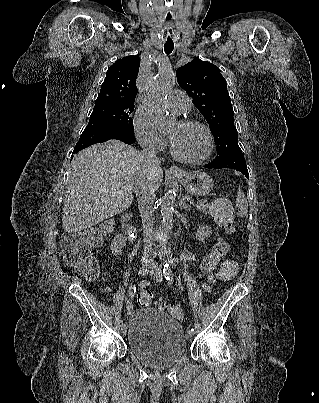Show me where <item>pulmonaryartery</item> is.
<instances>
[{
    "instance_id": "pulmonary-artery-1",
    "label": "pulmonary artery",
    "mask_w": 319,
    "mask_h": 403,
    "mask_svg": "<svg viewBox=\"0 0 319 403\" xmlns=\"http://www.w3.org/2000/svg\"><path fill=\"white\" fill-rule=\"evenodd\" d=\"M170 108L177 113H184L190 107V98L181 91H174L168 97Z\"/></svg>"
}]
</instances>
